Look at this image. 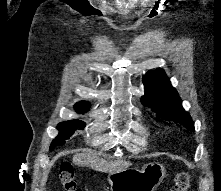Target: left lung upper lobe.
Listing matches in <instances>:
<instances>
[{
  "label": "left lung upper lobe",
  "mask_w": 221,
  "mask_h": 191,
  "mask_svg": "<svg viewBox=\"0 0 221 191\" xmlns=\"http://www.w3.org/2000/svg\"><path fill=\"white\" fill-rule=\"evenodd\" d=\"M145 94L141 102L166 120H176L188 130L194 131V123L190 115L182 107L181 99L164 70L156 69L148 72L144 78Z\"/></svg>",
  "instance_id": "left-lung-upper-lobe-1"
}]
</instances>
